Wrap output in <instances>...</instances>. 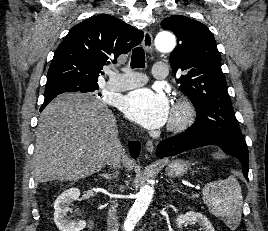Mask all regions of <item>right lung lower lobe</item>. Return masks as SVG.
Here are the masks:
<instances>
[{
	"label": "right lung lower lobe",
	"mask_w": 268,
	"mask_h": 231,
	"mask_svg": "<svg viewBox=\"0 0 268 231\" xmlns=\"http://www.w3.org/2000/svg\"><path fill=\"white\" fill-rule=\"evenodd\" d=\"M46 106V105H45ZM45 106H42L40 111L44 109ZM129 148H130V154L133 158L138 157L139 152H140V143L137 141H133L129 143Z\"/></svg>",
	"instance_id": "1"
}]
</instances>
